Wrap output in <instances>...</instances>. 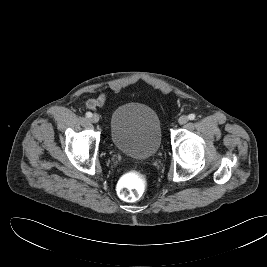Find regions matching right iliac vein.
Returning <instances> with one entry per match:
<instances>
[{"label": "right iliac vein", "instance_id": "obj_1", "mask_svg": "<svg viewBox=\"0 0 267 267\" xmlns=\"http://www.w3.org/2000/svg\"><path fill=\"white\" fill-rule=\"evenodd\" d=\"M90 120H91L92 123H98L99 120H100V117H99L98 114H93V115L91 116Z\"/></svg>", "mask_w": 267, "mask_h": 267}]
</instances>
